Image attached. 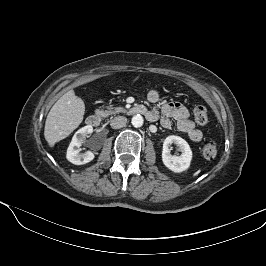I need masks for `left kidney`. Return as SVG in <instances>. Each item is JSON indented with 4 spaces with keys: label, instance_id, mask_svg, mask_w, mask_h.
<instances>
[{
    "label": "left kidney",
    "instance_id": "1",
    "mask_svg": "<svg viewBox=\"0 0 266 266\" xmlns=\"http://www.w3.org/2000/svg\"><path fill=\"white\" fill-rule=\"evenodd\" d=\"M176 144L181 151V155L176 156L170 153V145ZM192 160V150L189 144L181 137L168 136L163 143L162 161L171 171L179 173L187 170Z\"/></svg>",
    "mask_w": 266,
    "mask_h": 266
}]
</instances>
